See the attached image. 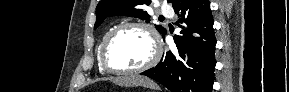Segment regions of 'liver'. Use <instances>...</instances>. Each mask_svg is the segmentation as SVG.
<instances>
[{"instance_id": "obj_1", "label": "liver", "mask_w": 289, "mask_h": 92, "mask_svg": "<svg viewBox=\"0 0 289 92\" xmlns=\"http://www.w3.org/2000/svg\"><path fill=\"white\" fill-rule=\"evenodd\" d=\"M119 81L121 84H126V85H138V84H149L150 81L149 80H138V79H126V80H117Z\"/></svg>"}]
</instances>
